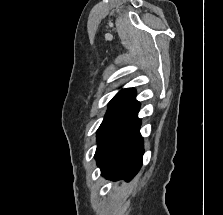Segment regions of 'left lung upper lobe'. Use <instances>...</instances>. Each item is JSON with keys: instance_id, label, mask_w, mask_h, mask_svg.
Wrapping results in <instances>:
<instances>
[{"instance_id": "left-lung-upper-lobe-1", "label": "left lung upper lobe", "mask_w": 223, "mask_h": 215, "mask_svg": "<svg viewBox=\"0 0 223 215\" xmlns=\"http://www.w3.org/2000/svg\"><path fill=\"white\" fill-rule=\"evenodd\" d=\"M135 100V91L132 88L123 89L110 101L109 108L97 130L98 146L96 152L99 150L105 138L111 130L138 104Z\"/></svg>"}]
</instances>
